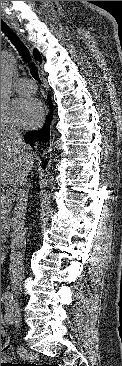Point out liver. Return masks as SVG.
<instances>
[{"instance_id": "liver-1", "label": "liver", "mask_w": 122, "mask_h": 366, "mask_svg": "<svg viewBox=\"0 0 122 366\" xmlns=\"http://www.w3.org/2000/svg\"><path fill=\"white\" fill-rule=\"evenodd\" d=\"M5 132H1V185L5 187H15L24 174L28 177L34 167L35 153L31 147L28 154V163L24 160V154L16 146L7 142ZM26 158V157H25Z\"/></svg>"}]
</instances>
